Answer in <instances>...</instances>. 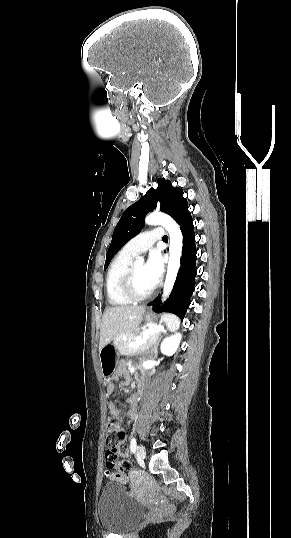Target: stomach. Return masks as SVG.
<instances>
[{"mask_svg": "<svg viewBox=\"0 0 291 538\" xmlns=\"http://www.w3.org/2000/svg\"><path fill=\"white\" fill-rule=\"evenodd\" d=\"M144 319L148 323H153L154 316L151 313H146L144 315ZM118 356L119 354L117 352V349L113 344H107L99 350V357L101 363L100 369L104 379H109L116 372V368L118 365Z\"/></svg>", "mask_w": 291, "mask_h": 538, "instance_id": "0dacf381", "label": "stomach"}]
</instances>
